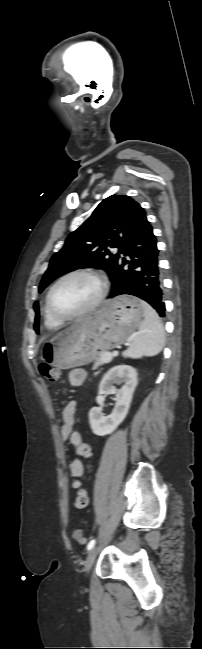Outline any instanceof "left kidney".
I'll list each match as a JSON object with an SVG mask.
<instances>
[{"mask_svg":"<svg viewBox=\"0 0 202 649\" xmlns=\"http://www.w3.org/2000/svg\"><path fill=\"white\" fill-rule=\"evenodd\" d=\"M113 383L123 384L120 390L116 391ZM137 386V372L129 365H119L110 369L102 378L99 384L97 399L104 394H115L116 401L112 413L104 416L102 408L93 407L89 412V423L92 432L98 436L112 433L125 419Z\"/></svg>","mask_w":202,"mask_h":649,"instance_id":"1","label":"left kidney"}]
</instances>
